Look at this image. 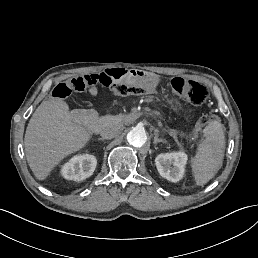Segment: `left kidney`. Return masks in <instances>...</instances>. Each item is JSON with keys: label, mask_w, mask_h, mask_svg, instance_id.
I'll list each match as a JSON object with an SVG mask.
<instances>
[{"label": "left kidney", "mask_w": 258, "mask_h": 258, "mask_svg": "<svg viewBox=\"0 0 258 258\" xmlns=\"http://www.w3.org/2000/svg\"><path fill=\"white\" fill-rule=\"evenodd\" d=\"M188 156L184 152L162 153L155 158L159 174L171 182H178L184 176Z\"/></svg>", "instance_id": "5707ae66"}]
</instances>
